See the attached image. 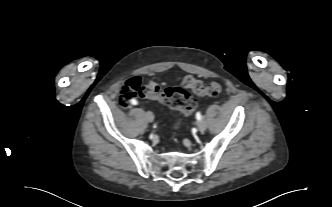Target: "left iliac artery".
Returning a JSON list of instances; mask_svg holds the SVG:
<instances>
[{
  "label": "left iliac artery",
  "mask_w": 332,
  "mask_h": 207,
  "mask_svg": "<svg viewBox=\"0 0 332 207\" xmlns=\"http://www.w3.org/2000/svg\"><path fill=\"white\" fill-rule=\"evenodd\" d=\"M196 118H197L198 120H201V119H202V115H201L200 112H197V114H196Z\"/></svg>",
  "instance_id": "left-iliac-artery-1"
}]
</instances>
